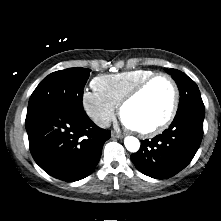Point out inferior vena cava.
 <instances>
[{
  "instance_id": "obj_1",
  "label": "inferior vena cava",
  "mask_w": 221,
  "mask_h": 221,
  "mask_svg": "<svg viewBox=\"0 0 221 221\" xmlns=\"http://www.w3.org/2000/svg\"><path fill=\"white\" fill-rule=\"evenodd\" d=\"M96 123L101 128H107L111 125V120L108 117H99L96 118Z\"/></svg>"
}]
</instances>
